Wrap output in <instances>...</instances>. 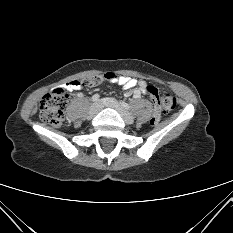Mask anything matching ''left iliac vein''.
<instances>
[{"label": "left iliac vein", "instance_id": "4c4485c4", "mask_svg": "<svg viewBox=\"0 0 233 233\" xmlns=\"http://www.w3.org/2000/svg\"><path fill=\"white\" fill-rule=\"evenodd\" d=\"M102 103L106 107L115 109L121 115V117L124 119V121L127 124H132L134 122L133 116L126 109H124L120 105V103L118 101H116L115 99H113V98H104L102 100Z\"/></svg>", "mask_w": 233, "mask_h": 233}]
</instances>
